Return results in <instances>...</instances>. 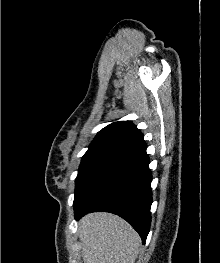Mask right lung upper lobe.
<instances>
[{
    "label": "right lung upper lobe",
    "mask_w": 220,
    "mask_h": 263,
    "mask_svg": "<svg viewBox=\"0 0 220 263\" xmlns=\"http://www.w3.org/2000/svg\"><path fill=\"white\" fill-rule=\"evenodd\" d=\"M143 141V135L132 122L118 121L98 132L87 152L109 151L119 153Z\"/></svg>",
    "instance_id": "1"
}]
</instances>
